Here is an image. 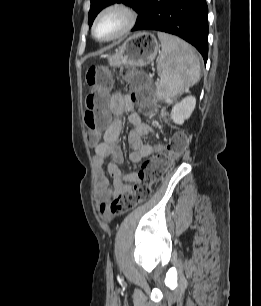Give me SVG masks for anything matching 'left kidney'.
<instances>
[{
	"label": "left kidney",
	"mask_w": 261,
	"mask_h": 306,
	"mask_svg": "<svg viewBox=\"0 0 261 306\" xmlns=\"http://www.w3.org/2000/svg\"><path fill=\"white\" fill-rule=\"evenodd\" d=\"M196 105V99L193 96H187L176 103L171 111V119L175 124L182 125L189 119Z\"/></svg>",
	"instance_id": "1"
}]
</instances>
